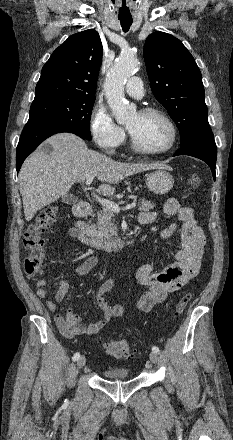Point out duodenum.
I'll use <instances>...</instances> for the list:
<instances>
[{
  "label": "duodenum",
  "instance_id": "1",
  "mask_svg": "<svg viewBox=\"0 0 233 440\" xmlns=\"http://www.w3.org/2000/svg\"><path fill=\"white\" fill-rule=\"evenodd\" d=\"M93 212L94 209L92 205L85 201H80L74 206V214L78 218L74 225L75 234L77 239L87 246L110 251L121 250L125 248L130 243L131 238L136 236L140 231V227L135 226L132 231L124 237L113 239L99 237L85 222V219L90 217Z\"/></svg>",
  "mask_w": 233,
  "mask_h": 440
}]
</instances>
